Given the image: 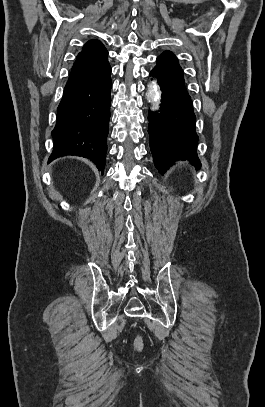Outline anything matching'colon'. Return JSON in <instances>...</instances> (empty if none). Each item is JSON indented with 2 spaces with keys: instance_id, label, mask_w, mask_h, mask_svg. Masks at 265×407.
<instances>
[{
  "instance_id": "obj_1",
  "label": "colon",
  "mask_w": 265,
  "mask_h": 407,
  "mask_svg": "<svg viewBox=\"0 0 265 407\" xmlns=\"http://www.w3.org/2000/svg\"><path fill=\"white\" fill-rule=\"evenodd\" d=\"M133 345H134V349L136 351H141L142 348H143V340H142V338L140 336H137L134 339V344Z\"/></svg>"
}]
</instances>
